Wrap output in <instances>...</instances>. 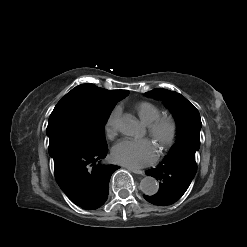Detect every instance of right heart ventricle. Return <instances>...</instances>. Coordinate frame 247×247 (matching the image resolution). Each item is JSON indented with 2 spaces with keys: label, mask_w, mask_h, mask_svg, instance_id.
I'll return each mask as SVG.
<instances>
[{
  "label": "right heart ventricle",
  "mask_w": 247,
  "mask_h": 247,
  "mask_svg": "<svg viewBox=\"0 0 247 247\" xmlns=\"http://www.w3.org/2000/svg\"><path fill=\"white\" fill-rule=\"evenodd\" d=\"M136 112L145 124H149L161 115V109L149 101H141L135 106Z\"/></svg>",
  "instance_id": "e07e8e85"
}]
</instances>
